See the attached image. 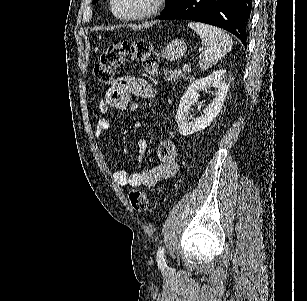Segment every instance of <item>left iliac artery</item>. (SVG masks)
Instances as JSON below:
<instances>
[{"instance_id": "44dca946", "label": "left iliac artery", "mask_w": 307, "mask_h": 301, "mask_svg": "<svg viewBox=\"0 0 307 301\" xmlns=\"http://www.w3.org/2000/svg\"><path fill=\"white\" fill-rule=\"evenodd\" d=\"M157 263L160 269L166 268V261L164 257V247H160L157 252Z\"/></svg>"}]
</instances>
